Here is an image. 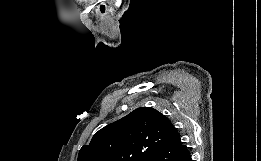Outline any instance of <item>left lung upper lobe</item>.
Here are the masks:
<instances>
[{
	"mask_svg": "<svg viewBox=\"0 0 261 161\" xmlns=\"http://www.w3.org/2000/svg\"><path fill=\"white\" fill-rule=\"evenodd\" d=\"M177 133L159 111L140 107L99 130L82 146L77 161H149Z\"/></svg>",
	"mask_w": 261,
	"mask_h": 161,
	"instance_id": "1",
	"label": "left lung upper lobe"
}]
</instances>
